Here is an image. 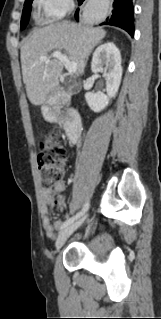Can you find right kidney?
<instances>
[{"label":"right kidney","instance_id":"1","mask_svg":"<svg viewBox=\"0 0 161 319\" xmlns=\"http://www.w3.org/2000/svg\"><path fill=\"white\" fill-rule=\"evenodd\" d=\"M91 70L93 73H103L106 79V92H87L85 99L94 112L102 111L115 97L122 78L121 54L112 42L99 46L93 53Z\"/></svg>","mask_w":161,"mask_h":319}]
</instances>
